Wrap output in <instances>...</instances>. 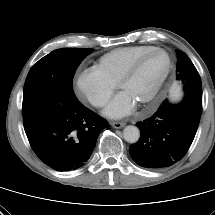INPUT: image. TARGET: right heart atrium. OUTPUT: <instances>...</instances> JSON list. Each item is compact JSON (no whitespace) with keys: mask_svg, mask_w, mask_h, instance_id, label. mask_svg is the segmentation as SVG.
<instances>
[{"mask_svg":"<svg viewBox=\"0 0 215 215\" xmlns=\"http://www.w3.org/2000/svg\"><path fill=\"white\" fill-rule=\"evenodd\" d=\"M77 96L95 108L103 107L114 92L115 84L106 79L96 68L80 70L74 77Z\"/></svg>","mask_w":215,"mask_h":215,"instance_id":"obj_1","label":"right heart atrium"}]
</instances>
